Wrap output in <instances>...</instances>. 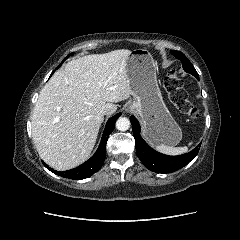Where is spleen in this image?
<instances>
[{
  "mask_svg": "<svg viewBox=\"0 0 240 240\" xmlns=\"http://www.w3.org/2000/svg\"><path fill=\"white\" fill-rule=\"evenodd\" d=\"M192 142L189 143L191 145ZM155 149L166 155H180L188 151V147H171L165 144L156 145Z\"/></svg>",
  "mask_w": 240,
  "mask_h": 240,
  "instance_id": "spleen-1",
  "label": "spleen"
}]
</instances>
